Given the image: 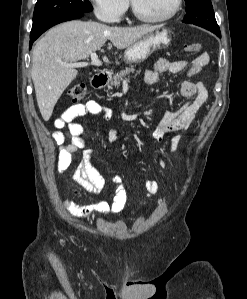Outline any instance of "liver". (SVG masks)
<instances>
[{
    "mask_svg": "<svg viewBox=\"0 0 247 299\" xmlns=\"http://www.w3.org/2000/svg\"><path fill=\"white\" fill-rule=\"evenodd\" d=\"M160 25L118 27L73 20L49 29L33 49L31 76L39 110L48 121L53 109L78 71L64 63L87 59L107 40L119 50L128 48Z\"/></svg>",
    "mask_w": 247,
    "mask_h": 299,
    "instance_id": "obj_1",
    "label": "liver"
}]
</instances>
